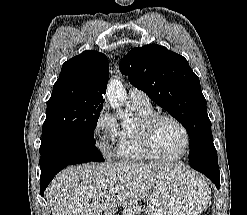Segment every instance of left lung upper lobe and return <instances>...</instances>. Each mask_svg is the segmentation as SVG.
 Masks as SVG:
<instances>
[{
  "label": "left lung upper lobe",
  "instance_id": "obj_1",
  "mask_svg": "<svg viewBox=\"0 0 247 215\" xmlns=\"http://www.w3.org/2000/svg\"><path fill=\"white\" fill-rule=\"evenodd\" d=\"M119 68L133 86L143 90L185 127L190 151L205 142L213 143L199 78L183 56L151 44L132 49Z\"/></svg>",
  "mask_w": 247,
  "mask_h": 215
}]
</instances>
